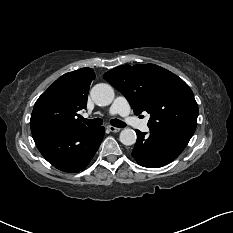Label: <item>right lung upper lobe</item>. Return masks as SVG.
Instances as JSON below:
<instances>
[{
	"instance_id": "obj_1",
	"label": "right lung upper lobe",
	"mask_w": 233,
	"mask_h": 233,
	"mask_svg": "<svg viewBox=\"0 0 233 233\" xmlns=\"http://www.w3.org/2000/svg\"><path fill=\"white\" fill-rule=\"evenodd\" d=\"M95 74L82 68L58 78L36 101L30 120L32 134L41 131L70 132L87 127L76 117L86 108Z\"/></svg>"
}]
</instances>
